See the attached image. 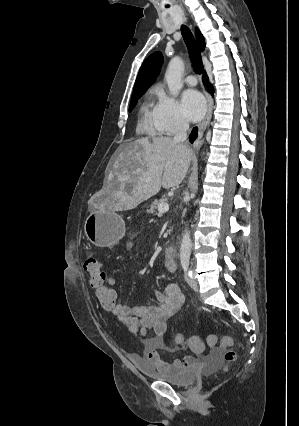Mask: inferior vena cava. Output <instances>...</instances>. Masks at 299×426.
<instances>
[{
    "mask_svg": "<svg viewBox=\"0 0 299 426\" xmlns=\"http://www.w3.org/2000/svg\"><path fill=\"white\" fill-rule=\"evenodd\" d=\"M189 129V123L186 120H182L179 127H178V131L175 134L173 141L175 143H179L182 145L187 144V131Z\"/></svg>",
    "mask_w": 299,
    "mask_h": 426,
    "instance_id": "inferior-vena-cava-1",
    "label": "inferior vena cava"
}]
</instances>
